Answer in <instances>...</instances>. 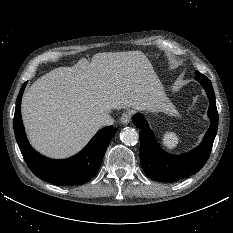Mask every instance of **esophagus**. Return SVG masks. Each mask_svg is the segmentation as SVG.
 Here are the masks:
<instances>
[{
	"label": "esophagus",
	"instance_id": "34e87169",
	"mask_svg": "<svg viewBox=\"0 0 233 233\" xmlns=\"http://www.w3.org/2000/svg\"><path fill=\"white\" fill-rule=\"evenodd\" d=\"M131 121V113L130 112H126L124 114H122L121 118H120V122L124 125L129 124Z\"/></svg>",
	"mask_w": 233,
	"mask_h": 233
}]
</instances>
